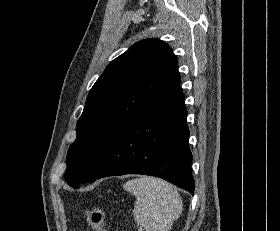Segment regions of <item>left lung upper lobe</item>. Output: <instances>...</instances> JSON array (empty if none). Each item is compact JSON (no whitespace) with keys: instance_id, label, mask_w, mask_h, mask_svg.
Listing matches in <instances>:
<instances>
[{"instance_id":"left-lung-upper-lobe-1","label":"left lung upper lobe","mask_w":280,"mask_h":231,"mask_svg":"<svg viewBox=\"0 0 280 231\" xmlns=\"http://www.w3.org/2000/svg\"><path fill=\"white\" fill-rule=\"evenodd\" d=\"M180 85L178 62L161 40L135 43L113 60L90 90L67 154L65 179L79 188L128 126Z\"/></svg>"}]
</instances>
